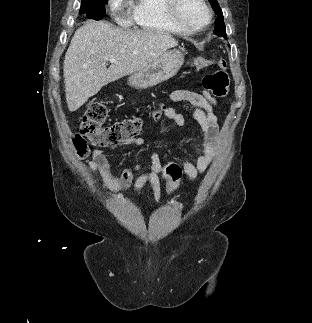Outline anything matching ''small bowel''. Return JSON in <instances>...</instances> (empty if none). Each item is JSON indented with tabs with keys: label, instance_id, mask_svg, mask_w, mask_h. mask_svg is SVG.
Returning <instances> with one entry per match:
<instances>
[{
	"label": "small bowel",
	"instance_id": "c3829d8e",
	"mask_svg": "<svg viewBox=\"0 0 312 323\" xmlns=\"http://www.w3.org/2000/svg\"><path fill=\"white\" fill-rule=\"evenodd\" d=\"M170 100L174 103H188L193 106L186 114H182L173 107H166L164 117L173 124L182 127L188 121L195 122L201 131L202 148L198 152L196 163L182 159L185 175L189 180H195L209 167L212 159L219 149V125L215 109L218 101L210 92L205 89L191 91L187 89H176L170 93ZM133 147H142L145 140L142 137H135L127 141ZM168 155L153 152L150 156L148 170L140 175L133 183V190H140L144 184L150 183L153 189L154 198L160 199V173L163 171V164L167 163ZM175 164V163H174ZM89 168L102 179L104 189L123 191L128 189L133 180V174L141 169L140 164H134L125 169L120 176L113 175L105 151L96 149L88 160Z\"/></svg>",
	"mask_w": 312,
	"mask_h": 323
}]
</instances>
